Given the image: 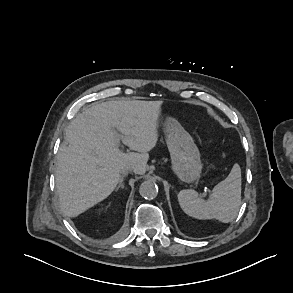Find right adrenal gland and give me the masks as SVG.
<instances>
[{
  "mask_svg": "<svg viewBox=\"0 0 293 293\" xmlns=\"http://www.w3.org/2000/svg\"><path fill=\"white\" fill-rule=\"evenodd\" d=\"M126 175H127V174H123V175L120 177L119 184H118L117 188L115 189V191H118L119 188L124 189L123 181H124V178L126 177Z\"/></svg>",
  "mask_w": 293,
  "mask_h": 293,
  "instance_id": "1",
  "label": "right adrenal gland"
}]
</instances>
